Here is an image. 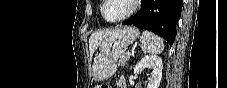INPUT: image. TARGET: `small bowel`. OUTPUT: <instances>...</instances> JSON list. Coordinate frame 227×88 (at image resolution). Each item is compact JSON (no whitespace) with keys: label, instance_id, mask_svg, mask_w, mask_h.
<instances>
[{"label":"small bowel","instance_id":"1","mask_svg":"<svg viewBox=\"0 0 227 88\" xmlns=\"http://www.w3.org/2000/svg\"><path fill=\"white\" fill-rule=\"evenodd\" d=\"M118 87L119 88H127V84L124 78H120L118 80Z\"/></svg>","mask_w":227,"mask_h":88}]
</instances>
